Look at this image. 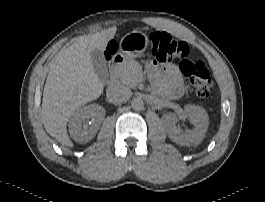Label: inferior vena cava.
Here are the masks:
<instances>
[{"label":"inferior vena cava","instance_id":"inferior-vena-cava-1","mask_svg":"<svg viewBox=\"0 0 265 202\" xmlns=\"http://www.w3.org/2000/svg\"><path fill=\"white\" fill-rule=\"evenodd\" d=\"M107 97L111 102H126L132 95L131 90L122 84H113L107 88Z\"/></svg>","mask_w":265,"mask_h":202}]
</instances>
